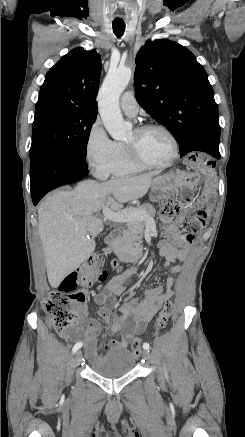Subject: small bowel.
<instances>
[{
	"label": "small bowel",
	"mask_w": 245,
	"mask_h": 437,
	"mask_svg": "<svg viewBox=\"0 0 245 437\" xmlns=\"http://www.w3.org/2000/svg\"><path fill=\"white\" fill-rule=\"evenodd\" d=\"M187 166L192 175H199L200 172L206 180H216L217 165L209 154H203L201 150H189L187 153ZM185 198L190 199L191 193L187 191ZM186 213L182 211L175 224L164 226L166 238L159 241L158 253L163 257V266L168 268L176 260H183L186 257L188 247L193 243L192 234H182L178 226L185 220ZM208 220V211L202 210L192 218L190 224L194 230L202 228ZM181 265L171 267V273H179ZM126 279L122 276L114 277L106 287L96 294L94 301L98 305V315L109 326L110 330L119 335V339H112L106 344L98 342L99 324L92 318L83 320V333L79 337L62 336L66 340L82 339L85 343V353L89 360L95 361L99 357V351L105 352L112 349H126L128 343L136 335L144 332L147 324L157 314L165 302L169 299V292L165 293L161 285L149 288L145 297L137 301L133 292L127 294V301L119 307V314L115 315L112 309L115 305V297L124 291ZM174 285V279L167 280V287L171 289ZM81 316L86 315V308L80 307Z\"/></svg>",
	"instance_id": "c3829d8e"
}]
</instances>
